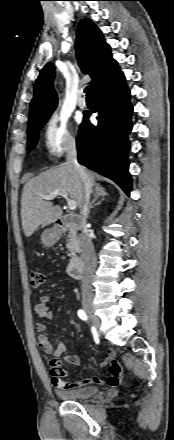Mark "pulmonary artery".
Wrapping results in <instances>:
<instances>
[{
    "instance_id": "e3ab8cb5",
    "label": "pulmonary artery",
    "mask_w": 174,
    "mask_h": 440,
    "mask_svg": "<svg viewBox=\"0 0 174 440\" xmlns=\"http://www.w3.org/2000/svg\"><path fill=\"white\" fill-rule=\"evenodd\" d=\"M77 105L79 108H85L87 106V102L83 97H79L77 99Z\"/></svg>"
}]
</instances>
